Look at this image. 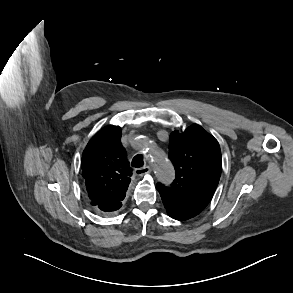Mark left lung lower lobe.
I'll return each mask as SVG.
<instances>
[{
  "label": "left lung lower lobe",
  "mask_w": 293,
  "mask_h": 293,
  "mask_svg": "<svg viewBox=\"0 0 293 293\" xmlns=\"http://www.w3.org/2000/svg\"><path fill=\"white\" fill-rule=\"evenodd\" d=\"M161 198H162L163 204L167 210V213L173 219L183 221V220H187V219H190V218L198 215L195 212L179 205L178 203L170 200L169 198H167L163 195H161Z\"/></svg>",
  "instance_id": "0a47b994"
}]
</instances>
